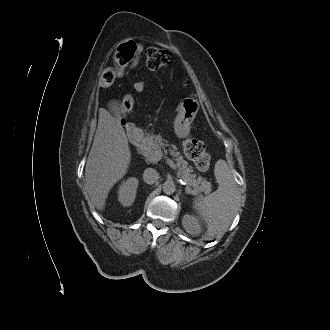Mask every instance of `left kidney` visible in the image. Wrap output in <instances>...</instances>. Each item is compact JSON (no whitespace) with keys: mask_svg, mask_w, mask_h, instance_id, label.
<instances>
[{"mask_svg":"<svg viewBox=\"0 0 330 330\" xmlns=\"http://www.w3.org/2000/svg\"><path fill=\"white\" fill-rule=\"evenodd\" d=\"M182 225L186 232L191 235H198L202 231V226L198 218L194 215H184L182 219Z\"/></svg>","mask_w":330,"mask_h":330,"instance_id":"5707ae66","label":"left kidney"}]
</instances>
